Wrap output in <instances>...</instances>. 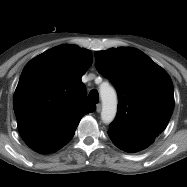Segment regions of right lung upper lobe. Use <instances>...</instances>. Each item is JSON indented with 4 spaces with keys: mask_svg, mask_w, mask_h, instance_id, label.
<instances>
[{
    "mask_svg": "<svg viewBox=\"0 0 187 187\" xmlns=\"http://www.w3.org/2000/svg\"><path fill=\"white\" fill-rule=\"evenodd\" d=\"M92 54L76 45H61L30 60L14 93L20 135L38 153L55 152L73 137L81 118L95 110L86 102L81 77Z\"/></svg>",
    "mask_w": 187,
    "mask_h": 187,
    "instance_id": "1",
    "label": "right lung upper lobe"
}]
</instances>
